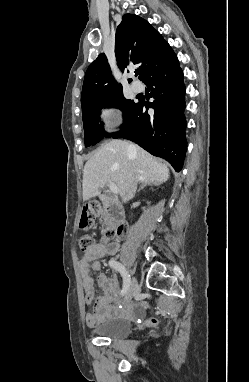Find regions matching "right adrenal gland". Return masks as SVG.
<instances>
[{
    "label": "right adrenal gland",
    "instance_id": "obj_1",
    "mask_svg": "<svg viewBox=\"0 0 249 382\" xmlns=\"http://www.w3.org/2000/svg\"><path fill=\"white\" fill-rule=\"evenodd\" d=\"M150 184H152L151 181H146V182H144V183L140 186V188L138 189V192H140L144 187H146L147 185H150Z\"/></svg>",
    "mask_w": 249,
    "mask_h": 382
}]
</instances>
